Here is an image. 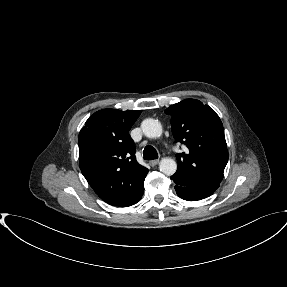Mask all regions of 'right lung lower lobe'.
I'll return each instance as SVG.
<instances>
[{
	"mask_svg": "<svg viewBox=\"0 0 287 287\" xmlns=\"http://www.w3.org/2000/svg\"><path fill=\"white\" fill-rule=\"evenodd\" d=\"M143 193H144V189L141 191V193L138 195V197L136 198V200H135V202L133 203V204H135V203H137L138 201H140V199L142 198V195H143ZM132 204V205H133ZM131 206V205H130Z\"/></svg>",
	"mask_w": 287,
	"mask_h": 287,
	"instance_id": "1",
	"label": "right lung lower lobe"
}]
</instances>
